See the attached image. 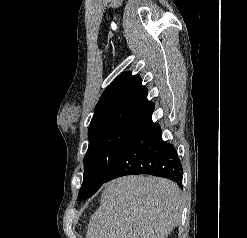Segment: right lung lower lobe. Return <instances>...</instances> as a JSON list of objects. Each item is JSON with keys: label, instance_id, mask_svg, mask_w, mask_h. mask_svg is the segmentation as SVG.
I'll return each mask as SVG.
<instances>
[{"label": "right lung lower lobe", "instance_id": "right-lung-lower-lobe-1", "mask_svg": "<svg viewBox=\"0 0 247 238\" xmlns=\"http://www.w3.org/2000/svg\"><path fill=\"white\" fill-rule=\"evenodd\" d=\"M161 128L152 119L142 128L112 166L105 182L114 178L150 174L182 184V168L173 146L162 141Z\"/></svg>", "mask_w": 247, "mask_h": 238}]
</instances>
